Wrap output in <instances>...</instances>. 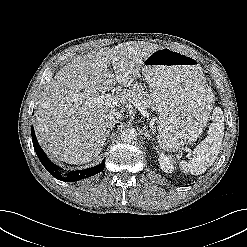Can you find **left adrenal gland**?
Instances as JSON below:
<instances>
[{
  "instance_id": "a2214340",
  "label": "left adrenal gland",
  "mask_w": 247,
  "mask_h": 247,
  "mask_svg": "<svg viewBox=\"0 0 247 247\" xmlns=\"http://www.w3.org/2000/svg\"><path fill=\"white\" fill-rule=\"evenodd\" d=\"M144 136L148 139V141H150L152 138V136L149 134L148 130H144Z\"/></svg>"
}]
</instances>
